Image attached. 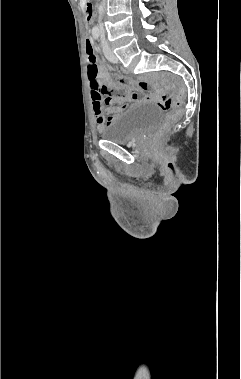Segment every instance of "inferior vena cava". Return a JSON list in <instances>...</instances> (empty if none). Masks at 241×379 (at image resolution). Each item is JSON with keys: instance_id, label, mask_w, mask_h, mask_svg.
<instances>
[{"instance_id": "1", "label": "inferior vena cava", "mask_w": 241, "mask_h": 379, "mask_svg": "<svg viewBox=\"0 0 241 379\" xmlns=\"http://www.w3.org/2000/svg\"><path fill=\"white\" fill-rule=\"evenodd\" d=\"M102 12H103V5H100L99 6V14H100L99 22L101 21L100 17H101ZM100 34H101V38L104 39L105 38V31H104L102 24H100Z\"/></svg>"}]
</instances>
